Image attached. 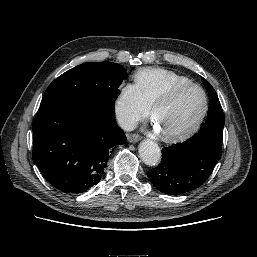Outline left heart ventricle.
Here are the masks:
<instances>
[{
	"instance_id": "obj_1",
	"label": "left heart ventricle",
	"mask_w": 257,
	"mask_h": 257,
	"mask_svg": "<svg viewBox=\"0 0 257 257\" xmlns=\"http://www.w3.org/2000/svg\"><path fill=\"white\" fill-rule=\"evenodd\" d=\"M203 108V96L196 88L181 92L171 103L158 108L156 120L165 132H175L190 127Z\"/></svg>"
}]
</instances>
